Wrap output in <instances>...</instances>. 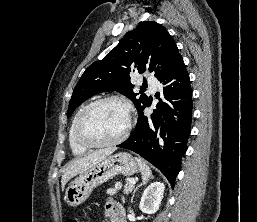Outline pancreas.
<instances>
[{"label":"pancreas","instance_id":"1","mask_svg":"<svg viewBox=\"0 0 257 222\" xmlns=\"http://www.w3.org/2000/svg\"><path fill=\"white\" fill-rule=\"evenodd\" d=\"M120 188H121L120 185H117L115 188L108 189V190H107V194L113 196V195H115V194L118 192V190H120ZM133 188H134V185L131 184V183L129 182V180H127V182H126V184H125V186H124V193H125V194L130 193V192L133 190Z\"/></svg>","mask_w":257,"mask_h":222}]
</instances>
